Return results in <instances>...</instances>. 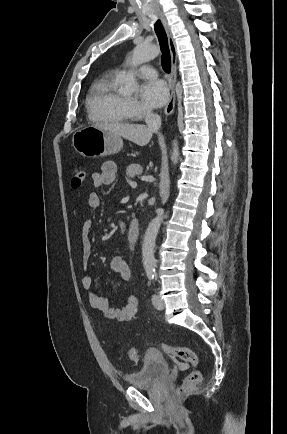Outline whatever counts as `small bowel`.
Returning a JSON list of instances; mask_svg holds the SVG:
<instances>
[{
    "mask_svg": "<svg viewBox=\"0 0 287 434\" xmlns=\"http://www.w3.org/2000/svg\"><path fill=\"white\" fill-rule=\"evenodd\" d=\"M117 174L116 166L113 162H104L100 171L94 172L91 176L92 184L95 187L110 185L114 182ZM87 207L96 210L100 207V197L97 193H90L87 197ZM93 223L86 221L82 226L80 237L81 260L86 269L92 255V244L90 232ZM110 271L116 274L120 280L127 281L131 277V268L123 255L116 256L110 263ZM94 279L85 275L81 279L82 288L88 292V299L91 307L102 312L111 321L126 322L135 318L138 310V298L135 295H126L124 303L120 307L112 306L110 300L92 291Z\"/></svg>",
    "mask_w": 287,
    "mask_h": 434,
    "instance_id": "1",
    "label": "small bowel"
}]
</instances>
